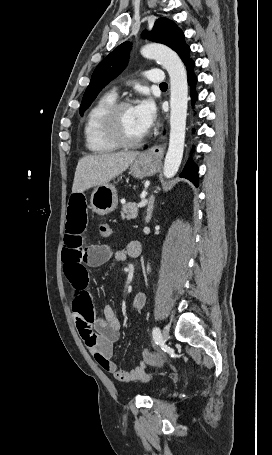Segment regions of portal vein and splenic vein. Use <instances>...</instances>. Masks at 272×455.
<instances>
[{
    "label": "portal vein and splenic vein",
    "mask_w": 272,
    "mask_h": 455,
    "mask_svg": "<svg viewBox=\"0 0 272 455\" xmlns=\"http://www.w3.org/2000/svg\"><path fill=\"white\" fill-rule=\"evenodd\" d=\"M146 204H147V200H146V199H142L141 202L138 204V207H139V208H142V207H144Z\"/></svg>",
    "instance_id": "portal-vein-and-splenic-vein-1"
}]
</instances>
